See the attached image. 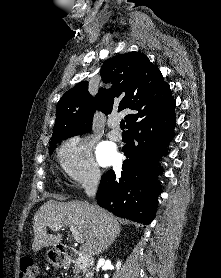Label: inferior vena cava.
<instances>
[{
  "instance_id": "1",
  "label": "inferior vena cava",
  "mask_w": 221,
  "mask_h": 278,
  "mask_svg": "<svg viewBox=\"0 0 221 278\" xmlns=\"http://www.w3.org/2000/svg\"><path fill=\"white\" fill-rule=\"evenodd\" d=\"M100 178L101 175L99 171L95 170L91 173L87 183L85 184V192L88 196L93 197L96 194Z\"/></svg>"
}]
</instances>
